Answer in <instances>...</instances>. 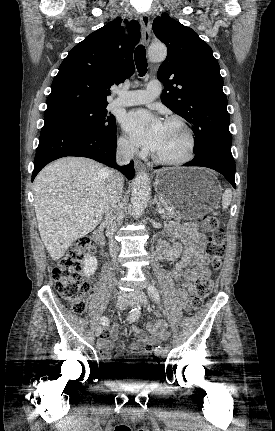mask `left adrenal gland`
<instances>
[{
	"instance_id": "1",
	"label": "left adrenal gland",
	"mask_w": 275,
	"mask_h": 431,
	"mask_svg": "<svg viewBox=\"0 0 275 431\" xmlns=\"http://www.w3.org/2000/svg\"><path fill=\"white\" fill-rule=\"evenodd\" d=\"M153 204H156V205H157V209L161 208V204H160V202H158V200H157V196H156V195L154 196ZM155 212H156V211H155Z\"/></svg>"
}]
</instances>
